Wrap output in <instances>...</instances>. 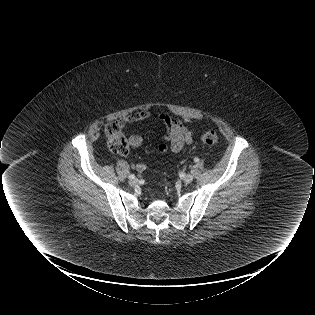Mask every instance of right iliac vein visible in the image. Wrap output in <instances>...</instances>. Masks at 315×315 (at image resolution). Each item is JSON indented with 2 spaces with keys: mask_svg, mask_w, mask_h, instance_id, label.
<instances>
[{
  "mask_svg": "<svg viewBox=\"0 0 315 315\" xmlns=\"http://www.w3.org/2000/svg\"><path fill=\"white\" fill-rule=\"evenodd\" d=\"M129 184L131 185V186H135V185H137L138 184V180L137 179H131V180H129Z\"/></svg>",
  "mask_w": 315,
  "mask_h": 315,
  "instance_id": "63e3f726",
  "label": "right iliac vein"
}]
</instances>
